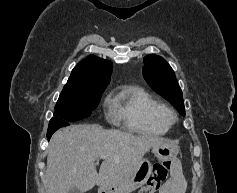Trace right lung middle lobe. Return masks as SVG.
Masks as SVG:
<instances>
[{"mask_svg":"<svg viewBox=\"0 0 237 193\" xmlns=\"http://www.w3.org/2000/svg\"><path fill=\"white\" fill-rule=\"evenodd\" d=\"M105 88L65 85L55 106L53 118L77 121L89 117L98 106Z\"/></svg>","mask_w":237,"mask_h":193,"instance_id":"1","label":"right lung middle lobe"}]
</instances>
